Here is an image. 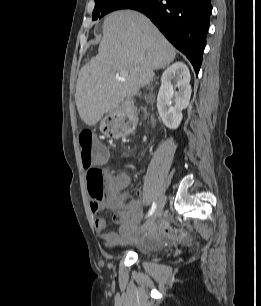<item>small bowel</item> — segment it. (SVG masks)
Returning a JSON list of instances; mask_svg holds the SVG:
<instances>
[{
    "label": "small bowel",
    "instance_id": "1",
    "mask_svg": "<svg viewBox=\"0 0 261 306\" xmlns=\"http://www.w3.org/2000/svg\"><path fill=\"white\" fill-rule=\"evenodd\" d=\"M130 178L126 172L114 175L108 182L106 196L102 202L92 201L90 209L95 214L107 208L114 213L116 230L106 231L108 222L102 217L94 218V227L101 233V239L107 247H115L130 242L136 224L142 216V199L126 200L122 192L129 185Z\"/></svg>",
    "mask_w": 261,
    "mask_h": 306
}]
</instances>
